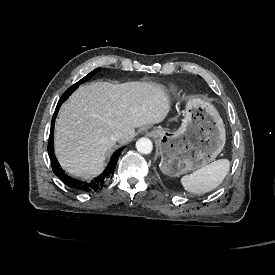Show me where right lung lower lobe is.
<instances>
[{
  "instance_id": "right-lung-lower-lobe-1",
  "label": "right lung lower lobe",
  "mask_w": 275,
  "mask_h": 275,
  "mask_svg": "<svg viewBox=\"0 0 275 275\" xmlns=\"http://www.w3.org/2000/svg\"><path fill=\"white\" fill-rule=\"evenodd\" d=\"M67 98H61L56 106L53 118H52V123H51V129H50V136H49V143H48V154L51 160V164H52V169L54 174L67 186H69L70 188H73L75 190L78 191H82V192H90V191H97L99 189H102L104 187V185L106 184V182L108 181L109 177L113 174L118 158L120 156L121 151L124 149L120 148L119 150H117L112 158L110 163L108 164L107 168L105 169V171L98 176L96 179H94L91 182H85V181H81L79 179L73 178L69 175H67L62 168H60V165L58 164L55 155H54V150H53V134H54V123H55V118L56 115L59 111L60 106L62 105V103L66 100Z\"/></svg>"
}]
</instances>
